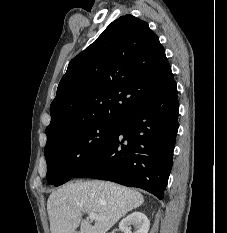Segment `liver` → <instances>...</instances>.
<instances>
[{"instance_id":"obj_1","label":"liver","mask_w":227,"mask_h":233,"mask_svg":"<svg viewBox=\"0 0 227 233\" xmlns=\"http://www.w3.org/2000/svg\"><path fill=\"white\" fill-rule=\"evenodd\" d=\"M143 195L103 181H77L52 192L47 201L51 233H106L128 212L141 206ZM93 212L102 217L91 225L82 218Z\"/></svg>"}]
</instances>
